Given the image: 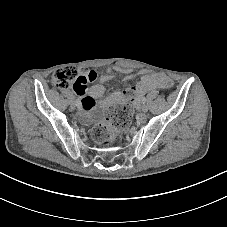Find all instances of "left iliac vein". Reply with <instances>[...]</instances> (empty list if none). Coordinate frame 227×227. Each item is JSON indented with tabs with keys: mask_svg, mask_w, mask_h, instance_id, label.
Segmentation results:
<instances>
[{
	"mask_svg": "<svg viewBox=\"0 0 227 227\" xmlns=\"http://www.w3.org/2000/svg\"><path fill=\"white\" fill-rule=\"evenodd\" d=\"M148 111V106L147 105H143L141 108V115H145Z\"/></svg>",
	"mask_w": 227,
	"mask_h": 227,
	"instance_id": "1",
	"label": "left iliac vein"
}]
</instances>
